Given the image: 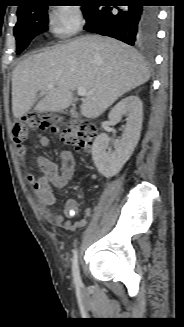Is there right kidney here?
<instances>
[{"instance_id": "obj_1", "label": "right kidney", "mask_w": 184, "mask_h": 327, "mask_svg": "<svg viewBox=\"0 0 184 327\" xmlns=\"http://www.w3.org/2000/svg\"><path fill=\"white\" fill-rule=\"evenodd\" d=\"M126 115V126L122 138L114 142V152H107L109 137L103 133L96 137L92 147V157L99 173L109 178L116 175L132 155L142 129L143 104L138 96H128L118 102L109 113L111 124Z\"/></svg>"}]
</instances>
